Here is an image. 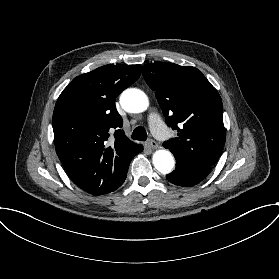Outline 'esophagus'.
<instances>
[{
  "mask_svg": "<svg viewBox=\"0 0 279 279\" xmlns=\"http://www.w3.org/2000/svg\"><path fill=\"white\" fill-rule=\"evenodd\" d=\"M147 144L152 148V149H157L158 148V143L153 140V139H150Z\"/></svg>",
  "mask_w": 279,
  "mask_h": 279,
  "instance_id": "esophagus-1",
  "label": "esophagus"
}]
</instances>
